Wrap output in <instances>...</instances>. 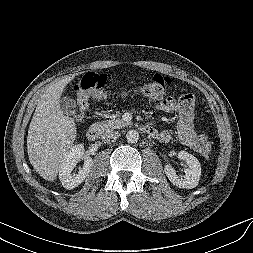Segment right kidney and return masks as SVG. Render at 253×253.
Here are the masks:
<instances>
[{"instance_id": "obj_1", "label": "right kidney", "mask_w": 253, "mask_h": 253, "mask_svg": "<svg viewBox=\"0 0 253 253\" xmlns=\"http://www.w3.org/2000/svg\"><path fill=\"white\" fill-rule=\"evenodd\" d=\"M84 160L82 169L78 174H72V171L79 160ZM93 166V159L85 154L84 146L79 144L71 147L65 154L59 169V179L66 189H73L80 185L88 176Z\"/></svg>"}]
</instances>
